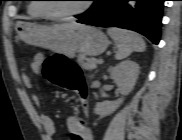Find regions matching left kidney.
Here are the masks:
<instances>
[{"instance_id":"left-kidney-1","label":"left kidney","mask_w":182,"mask_h":140,"mask_svg":"<svg viewBox=\"0 0 182 140\" xmlns=\"http://www.w3.org/2000/svg\"><path fill=\"white\" fill-rule=\"evenodd\" d=\"M139 72V65L131 60L123 61L112 67L110 69V77L115 81L122 97L115 101L96 103L94 112L100 116H107L116 111L123 103V97L133 90Z\"/></svg>"}]
</instances>
